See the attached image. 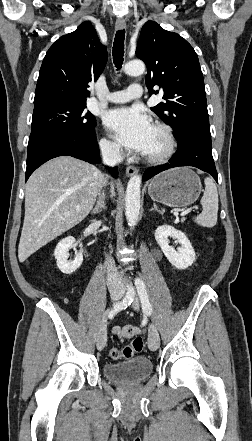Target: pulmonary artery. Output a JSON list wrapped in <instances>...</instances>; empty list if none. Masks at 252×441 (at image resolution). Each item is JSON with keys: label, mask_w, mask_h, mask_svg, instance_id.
Wrapping results in <instances>:
<instances>
[{"label": "pulmonary artery", "mask_w": 252, "mask_h": 441, "mask_svg": "<svg viewBox=\"0 0 252 441\" xmlns=\"http://www.w3.org/2000/svg\"><path fill=\"white\" fill-rule=\"evenodd\" d=\"M143 94V89L138 84L130 85L124 91H116L109 93L106 96V100L111 103H125L133 99L141 97Z\"/></svg>", "instance_id": "pulmonary-artery-1"}]
</instances>
